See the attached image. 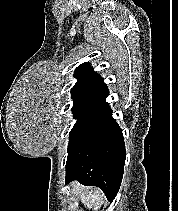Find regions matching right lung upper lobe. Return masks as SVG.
Segmentation results:
<instances>
[{"label": "right lung upper lobe", "mask_w": 178, "mask_h": 211, "mask_svg": "<svg viewBox=\"0 0 178 211\" xmlns=\"http://www.w3.org/2000/svg\"><path fill=\"white\" fill-rule=\"evenodd\" d=\"M77 83L71 90L75 104H97L108 95V88L103 79L89 63L81 64L76 70Z\"/></svg>", "instance_id": "right-lung-upper-lobe-1"}]
</instances>
